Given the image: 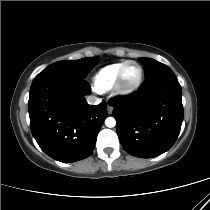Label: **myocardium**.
<instances>
[{"mask_svg":"<svg viewBox=\"0 0 210 210\" xmlns=\"http://www.w3.org/2000/svg\"><path fill=\"white\" fill-rule=\"evenodd\" d=\"M129 64H135L139 68V76H138L137 80L132 84H126V83H124V80H123L124 70L127 67V65H129ZM143 77H144V70H143L142 65L140 63H138L137 61L127 60L122 64V66L120 67V69L117 73L116 81L114 84V89L120 95H129V94L135 92L140 87V85L143 81Z\"/></svg>","mask_w":210,"mask_h":210,"instance_id":"obj_1","label":"myocardium"}]
</instances>
